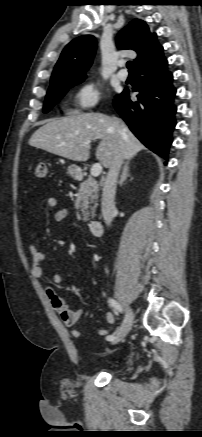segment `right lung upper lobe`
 Wrapping results in <instances>:
<instances>
[{
  "label": "right lung upper lobe",
  "mask_w": 202,
  "mask_h": 437,
  "mask_svg": "<svg viewBox=\"0 0 202 437\" xmlns=\"http://www.w3.org/2000/svg\"><path fill=\"white\" fill-rule=\"evenodd\" d=\"M119 49H132L137 52L135 67L150 63L163 54L155 33H150L147 24L134 19L117 35ZM97 41L92 35H83L72 40L63 50L53 70L51 85L72 78L86 76L92 64Z\"/></svg>",
  "instance_id": "cb5924a9"
}]
</instances>
